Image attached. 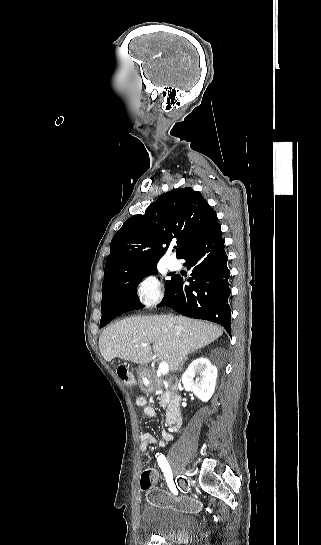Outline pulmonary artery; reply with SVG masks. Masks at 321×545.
<instances>
[{"mask_svg":"<svg viewBox=\"0 0 321 545\" xmlns=\"http://www.w3.org/2000/svg\"><path fill=\"white\" fill-rule=\"evenodd\" d=\"M166 265L170 271L178 270L181 266L179 261L174 258L168 259Z\"/></svg>","mask_w":321,"mask_h":545,"instance_id":"pulmonary-artery-1","label":"pulmonary artery"}]
</instances>
